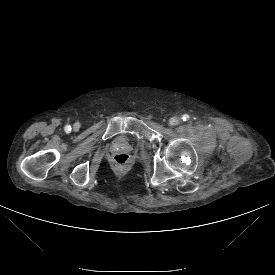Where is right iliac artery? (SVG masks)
Returning a JSON list of instances; mask_svg holds the SVG:
<instances>
[{
    "mask_svg": "<svg viewBox=\"0 0 275 275\" xmlns=\"http://www.w3.org/2000/svg\"><path fill=\"white\" fill-rule=\"evenodd\" d=\"M65 131H66V132L71 131V126H70V125H66V126H65Z\"/></svg>",
    "mask_w": 275,
    "mask_h": 275,
    "instance_id": "obj_1",
    "label": "right iliac artery"
}]
</instances>
